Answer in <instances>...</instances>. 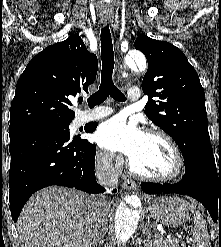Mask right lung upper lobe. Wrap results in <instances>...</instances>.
<instances>
[{"label":"right lung upper lobe","mask_w":221,"mask_h":247,"mask_svg":"<svg viewBox=\"0 0 221 247\" xmlns=\"http://www.w3.org/2000/svg\"><path fill=\"white\" fill-rule=\"evenodd\" d=\"M97 67L96 55L86 49L77 34L45 48L18 80L9 128L71 122L75 112L68 97L88 92Z\"/></svg>","instance_id":"cb5924a9"}]
</instances>
